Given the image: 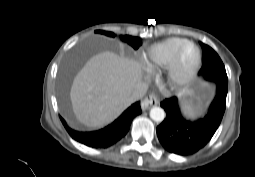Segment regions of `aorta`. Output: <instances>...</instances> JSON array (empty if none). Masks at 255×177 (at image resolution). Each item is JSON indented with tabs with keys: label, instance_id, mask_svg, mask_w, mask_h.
Segmentation results:
<instances>
[{
	"label": "aorta",
	"instance_id": "aorta-1",
	"mask_svg": "<svg viewBox=\"0 0 255 177\" xmlns=\"http://www.w3.org/2000/svg\"><path fill=\"white\" fill-rule=\"evenodd\" d=\"M150 117L155 122H162L164 120V118H165V112L160 107H153L150 110Z\"/></svg>",
	"mask_w": 255,
	"mask_h": 177
}]
</instances>
